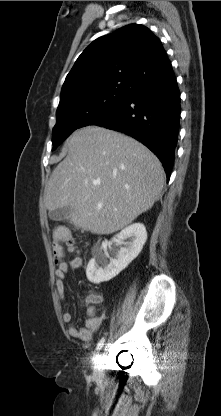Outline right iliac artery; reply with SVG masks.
Returning a JSON list of instances; mask_svg holds the SVG:
<instances>
[{"label":"right iliac artery","mask_w":221,"mask_h":416,"mask_svg":"<svg viewBox=\"0 0 221 416\" xmlns=\"http://www.w3.org/2000/svg\"><path fill=\"white\" fill-rule=\"evenodd\" d=\"M105 342V338H101L100 341L97 344L96 350H95V356L97 357V353L102 349Z\"/></svg>","instance_id":"82829eb1"}]
</instances>
